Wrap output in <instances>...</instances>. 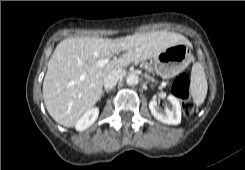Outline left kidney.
Returning <instances> with one entry per match:
<instances>
[{
  "label": "left kidney",
  "instance_id": "1",
  "mask_svg": "<svg viewBox=\"0 0 245 170\" xmlns=\"http://www.w3.org/2000/svg\"><path fill=\"white\" fill-rule=\"evenodd\" d=\"M168 100L172 104V109L166 108L162 110L155 99L149 102V109L158 121L165 124L178 125L181 123V105L179 100L173 95H169Z\"/></svg>",
  "mask_w": 245,
  "mask_h": 170
}]
</instances>
